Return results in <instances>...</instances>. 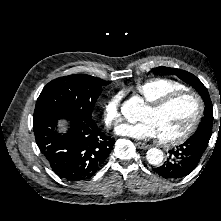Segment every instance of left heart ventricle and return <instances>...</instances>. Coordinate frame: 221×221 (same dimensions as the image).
I'll use <instances>...</instances> for the list:
<instances>
[{
	"mask_svg": "<svg viewBox=\"0 0 221 221\" xmlns=\"http://www.w3.org/2000/svg\"><path fill=\"white\" fill-rule=\"evenodd\" d=\"M196 103L192 97H181L160 111L145 107L140 120H149L157 130L158 138L170 139L189 126L196 114Z\"/></svg>",
	"mask_w": 221,
	"mask_h": 221,
	"instance_id": "left-heart-ventricle-1",
	"label": "left heart ventricle"
}]
</instances>
